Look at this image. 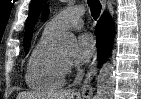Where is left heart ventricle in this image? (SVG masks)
Masks as SVG:
<instances>
[{
	"label": "left heart ventricle",
	"instance_id": "b2bd125f",
	"mask_svg": "<svg viewBox=\"0 0 141 99\" xmlns=\"http://www.w3.org/2000/svg\"><path fill=\"white\" fill-rule=\"evenodd\" d=\"M60 58L65 60V61H70L71 60V55L63 54V55L60 56Z\"/></svg>",
	"mask_w": 141,
	"mask_h": 99
}]
</instances>
